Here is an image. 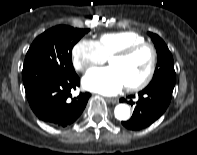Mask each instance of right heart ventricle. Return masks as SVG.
Here are the masks:
<instances>
[{
	"label": "right heart ventricle",
	"mask_w": 197,
	"mask_h": 155,
	"mask_svg": "<svg viewBox=\"0 0 197 155\" xmlns=\"http://www.w3.org/2000/svg\"><path fill=\"white\" fill-rule=\"evenodd\" d=\"M97 42L106 57H109L124 47L144 43L145 38L135 31L125 30L104 33L99 37Z\"/></svg>",
	"instance_id": "1"
}]
</instances>
